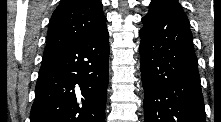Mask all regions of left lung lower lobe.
I'll return each instance as SVG.
<instances>
[{
	"label": "left lung lower lobe",
	"mask_w": 221,
	"mask_h": 122,
	"mask_svg": "<svg viewBox=\"0 0 221 122\" xmlns=\"http://www.w3.org/2000/svg\"><path fill=\"white\" fill-rule=\"evenodd\" d=\"M144 122H205L188 18L177 0H153L142 18Z\"/></svg>",
	"instance_id": "1"
}]
</instances>
